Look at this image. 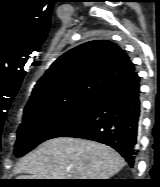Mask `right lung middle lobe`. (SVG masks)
I'll return each instance as SVG.
<instances>
[{"label":"right lung middle lobe","mask_w":160,"mask_h":187,"mask_svg":"<svg viewBox=\"0 0 160 187\" xmlns=\"http://www.w3.org/2000/svg\"><path fill=\"white\" fill-rule=\"evenodd\" d=\"M99 99H75L24 111L17 131L15 155L21 157L40 143L60 137L90 116Z\"/></svg>","instance_id":"right-lung-middle-lobe-1"}]
</instances>
